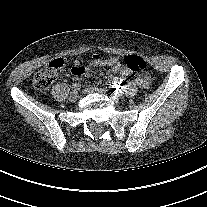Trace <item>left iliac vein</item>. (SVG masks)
I'll return each mask as SVG.
<instances>
[{
	"label": "left iliac vein",
	"instance_id": "1",
	"mask_svg": "<svg viewBox=\"0 0 207 207\" xmlns=\"http://www.w3.org/2000/svg\"><path fill=\"white\" fill-rule=\"evenodd\" d=\"M106 93L105 89H101V88H96V87H88L85 89V93ZM108 96L110 97V100H112L113 103H118L119 102V98L117 96H113L112 97V93L108 92Z\"/></svg>",
	"mask_w": 207,
	"mask_h": 207
}]
</instances>
